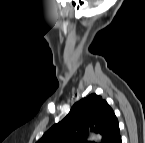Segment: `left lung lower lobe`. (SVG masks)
I'll return each instance as SVG.
<instances>
[{
    "mask_svg": "<svg viewBox=\"0 0 145 143\" xmlns=\"http://www.w3.org/2000/svg\"><path fill=\"white\" fill-rule=\"evenodd\" d=\"M113 143H122L121 137L118 136V137L116 138V140H115Z\"/></svg>",
    "mask_w": 145,
    "mask_h": 143,
    "instance_id": "obj_1",
    "label": "left lung lower lobe"
}]
</instances>
